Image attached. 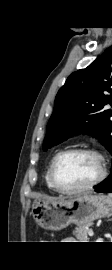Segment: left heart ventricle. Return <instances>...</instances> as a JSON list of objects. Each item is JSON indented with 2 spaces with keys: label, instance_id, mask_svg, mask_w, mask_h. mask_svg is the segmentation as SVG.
Instances as JSON below:
<instances>
[{
  "label": "left heart ventricle",
  "instance_id": "left-heart-ventricle-1",
  "mask_svg": "<svg viewBox=\"0 0 112 270\" xmlns=\"http://www.w3.org/2000/svg\"><path fill=\"white\" fill-rule=\"evenodd\" d=\"M99 160L90 154L63 156L56 167V177L65 188H77L93 181L99 174Z\"/></svg>",
  "mask_w": 112,
  "mask_h": 270
}]
</instances>
